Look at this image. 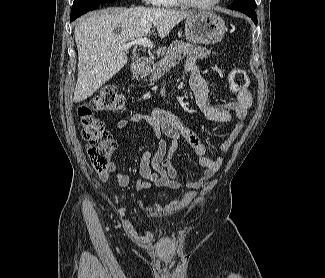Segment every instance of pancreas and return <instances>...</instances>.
<instances>
[{"instance_id": "pancreas-1", "label": "pancreas", "mask_w": 325, "mask_h": 278, "mask_svg": "<svg viewBox=\"0 0 325 278\" xmlns=\"http://www.w3.org/2000/svg\"><path fill=\"white\" fill-rule=\"evenodd\" d=\"M210 54L211 50H207L202 46L175 40L168 47L164 57L155 64L152 79H160L173 66H175L179 60H182L185 56H190L202 60L204 58H207V56Z\"/></svg>"}]
</instances>
